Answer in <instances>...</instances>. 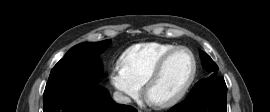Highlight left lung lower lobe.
Returning a JSON list of instances; mask_svg holds the SVG:
<instances>
[{
	"label": "left lung lower lobe",
	"instance_id": "left-lung-lower-lobe-1",
	"mask_svg": "<svg viewBox=\"0 0 270 112\" xmlns=\"http://www.w3.org/2000/svg\"><path fill=\"white\" fill-rule=\"evenodd\" d=\"M226 95L225 81L217 77L168 112H226Z\"/></svg>",
	"mask_w": 270,
	"mask_h": 112
}]
</instances>
